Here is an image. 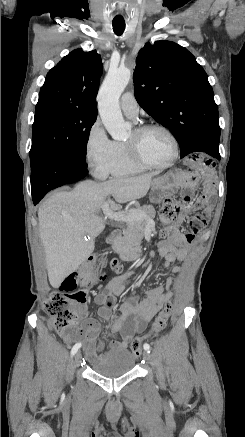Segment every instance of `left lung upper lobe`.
Listing matches in <instances>:
<instances>
[{
  "label": "left lung upper lobe",
  "instance_id": "1",
  "mask_svg": "<svg viewBox=\"0 0 245 437\" xmlns=\"http://www.w3.org/2000/svg\"><path fill=\"white\" fill-rule=\"evenodd\" d=\"M139 105L168 128L181 157L201 146L219 147L218 108L208 77L184 47L166 40L139 51L133 75Z\"/></svg>",
  "mask_w": 245,
  "mask_h": 437
}]
</instances>
